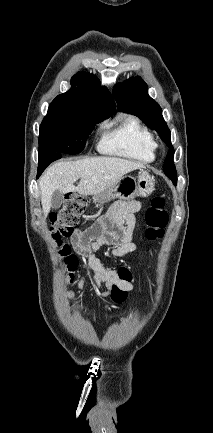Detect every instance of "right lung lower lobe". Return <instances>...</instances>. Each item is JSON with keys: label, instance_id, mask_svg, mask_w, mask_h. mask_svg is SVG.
Masks as SVG:
<instances>
[{"label": "right lung lower lobe", "instance_id": "obj_1", "mask_svg": "<svg viewBox=\"0 0 213 433\" xmlns=\"http://www.w3.org/2000/svg\"><path fill=\"white\" fill-rule=\"evenodd\" d=\"M61 153H51L42 157H39V163H38V172H37V178L41 175V173L44 171V169L53 161L59 159L61 157Z\"/></svg>", "mask_w": 213, "mask_h": 433}]
</instances>
